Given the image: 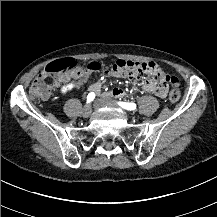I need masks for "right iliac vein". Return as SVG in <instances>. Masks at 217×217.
<instances>
[{
	"instance_id": "right-iliac-vein-1",
	"label": "right iliac vein",
	"mask_w": 217,
	"mask_h": 217,
	"mask_svg": "<svg viewBox=\"0 0 217 217\" xmlns=\"http://www.w3.org/2000/svg\"><path fill=\"white\" fill-rule=\"evenodd\" d=\"M91 112H92V107H91V105H86V106L84 107V109H83V116H84V117H87V116H89V115L91 114Z\"/></svg>"
}]
</instances>
